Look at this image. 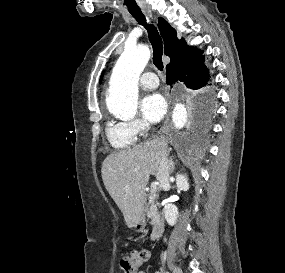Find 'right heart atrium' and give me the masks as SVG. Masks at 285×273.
Wrapping results in <instances>:
<instances>
[{
    "label": "right heart atrium",
    "mask_w": 285,
    "mask_h": 273,
    "mask_svg": "<svg viewBox=\"0 0 285 273\" xmlns=\"http://www.w3.org/2000/svg\"><path fill=\"white\" fill-rule=\"evenodd\" d=\"M125 124L129 132L132 133L135 137L144 134L148 129V124L141 119L131 120Z\"/></svg>",
    "instance_id": "d8ad5b80"
}]
</instances>
